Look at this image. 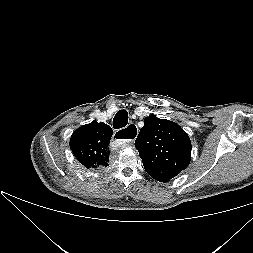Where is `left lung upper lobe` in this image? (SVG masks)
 Listing matches in <instances>:
<instances>
[{"label":"left lung upper lobe","mask_w":253,"mask_h":253,"mask_svg":"<svg viewBox=\"0 0 253 253\" xmlns=\"http://www.w3.org/2000/svg\"><path fill=\"white\" fill-rule=\"evenodd\" d=\"M135 147L146 172L160 182H168L184 170L191 160V141L175 122L149 115L144 119Z\"/></svg>","instance_id":"obj_1"}]
</instances>
